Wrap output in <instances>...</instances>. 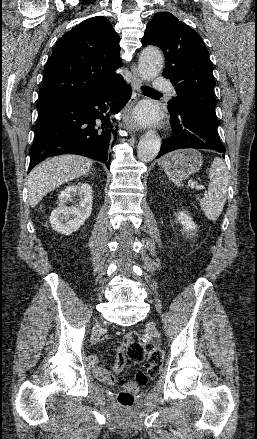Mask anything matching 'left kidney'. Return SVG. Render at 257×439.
<instances>
[{"instance_id":"left-kidney-1","label":"left kidney","mask_w":257,"mask_h":439,"mask_svg":"<svg viewBox=\"0 0 257 439\" xmlns=\"http://www.w3.org/2000/svg\"><path fill=\"white\" fill-rule=\"evenodd\" d=\"M178 220L183 226V231H185L187 233H191V232L195 231L196 225H195L194 221L192 220V218L190 216H188L184 212H179Z\"/></svg>"}]
</instances>
